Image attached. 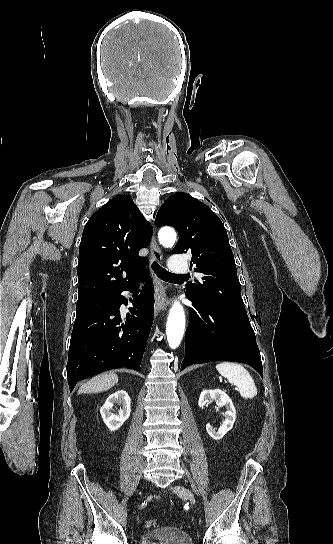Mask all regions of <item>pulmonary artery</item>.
<instances>
[{
    "instance_id": "e3ab8cb5",
    "label": "pulmonary artery",
    "mask_w": 333,
    "mask_h": 544,
    "mask_svg": "<svg viewBox=\"0 0 333 544\" xmlns=\"http://www.w3.org/2000/svg\"><path fill=\"white\" fill-rule=\"evenodd\" d=\"M170 270L175 274H184L189 270L187 261L180 255H175L170 261Z\"/></svg>"
}]
</instances>
